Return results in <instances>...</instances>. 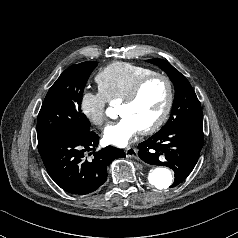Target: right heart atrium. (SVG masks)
<instances>
[{
  "mask_svg": "<svg viewBox=\"0 0 238 238\" xmlns=\"http://www.w3.org/2000/svg\"><path fill=\"white\" fill-rule=\"evenodd\" d=\"M107 97L98 90H87L81 96L80 107L87 119L96 126H103L108 121Z\"/></svg>",
  "mask_w": 238,
  "mask_h": 238,
  "instance_id": "obj_1",
  "label": "right heart atrium"
}]
</instances>
